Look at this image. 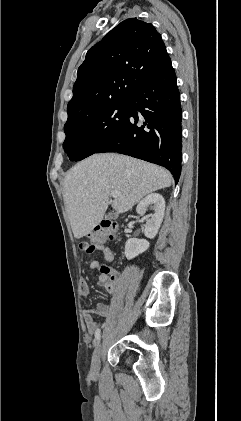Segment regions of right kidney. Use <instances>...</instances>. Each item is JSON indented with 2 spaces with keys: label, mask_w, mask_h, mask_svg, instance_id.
Instances as JSON below:
<instances>
[{
  "label": "right kidney",
  "mask_w": 241,
  "mask_h": 421,
  "mask_svg": "<svg viewBox=\"0 0 241 421\" xmlns=\"http://www.w3.org/2000/svg\"><path fill=\"white\" fill-rule=\"evenodd\" d=\"M150 207L154 213L147 218L144 234L147 238L153 239L161 226L165 212V200L157 193H151L143 198L137 205L136 211L144 215L146 209ZM149 242L145 239L130 238L125 244V256L131 260L149 248Z\"/></svg>",
  "instance_id": "right-kidney-1"
}]
</instances>
